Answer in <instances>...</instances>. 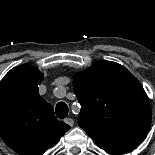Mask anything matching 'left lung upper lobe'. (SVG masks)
<instances>
[{"mask_svg":"<svg viewBox=\"0 0 155 155\" xmlns=\"http://www.w3.org/2000/svg\"><path fill=\"white\" fill-rule=\"evenodd\" d=\"M81 105L79 125L98 144L143 141L151 107L142 85L122 65L100 60L74 77Z\"/></svg>","mask_w":155,"mask_h":155,"instance_id":"1","label":"left lung upper lobe"}]
</instances>
